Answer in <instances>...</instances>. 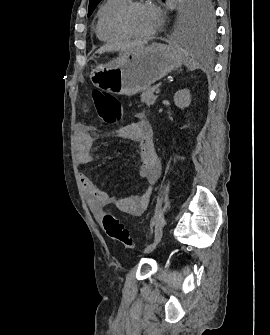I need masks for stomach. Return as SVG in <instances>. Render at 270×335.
<instances>
[{
    "mask_svg": "<svg viewBox=\"0 0 270 335\" xmlns=\"http://www.w3.org/2000/svg\"><path fill=\"white\" fill-rule=\"evenodd\" d=\"M183 50L177 46L152 44L120 54L111 66H97L91 72V82L104 92L118 96H134L148 90L151 84L180 68Z\"/></svg>",
    "mask_w": 270,
    "mask_h": 335,
    "instance_id": "1",
    "label": "stomach"
}]
</instances>
